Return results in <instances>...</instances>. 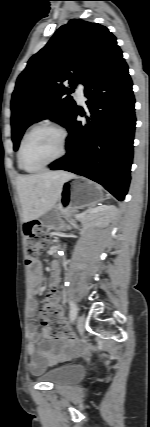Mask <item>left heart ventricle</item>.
<instances>
[{
  "mask_svg": "<svg viewBox=\"0 0 150 427\" xmlns=\"http://www.w3.org/2000/svg\"><path fill=\"white\" fill-rule=\"evenodd\" d=\"M60 151L59 135L52 130H39L27 141L23 162L26 168L36 169L52 160Z\"/></svg>",
  "mask_w": 150,
  "mask_h": 427,
  "instance_id": "obj_1",
  "label": "left heart ventricle"
}]
</instances>
